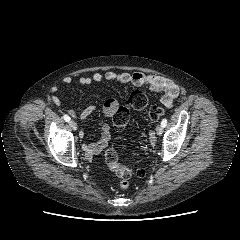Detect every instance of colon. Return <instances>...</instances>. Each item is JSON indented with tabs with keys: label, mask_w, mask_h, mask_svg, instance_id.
Wrapping results in <instances>:
<instances>
[{
	"label": "colon",
	"mask_w": 240,
	"mask_h": 240,
	"mask_svg": "<svg viewBox=\"0 0 240 240\" xmlns=\"http://www.w3.org/2000/svg\"><path fill=\"white\" fill-rule=\"evenodd\" d=\"M148 105L147 96L141 91H133L127 100L126 105L119 106L116 113L113 116V124L117 130H122L127 125L130 117V109L142 110ZM165 114V110L160 106H152L148 111V117L156 121ZM105 162L110 170H112L120 179L118 187L121 190L129 188V180L132 176L143 177L145 171L141 168L133 169L128 166H123L119 162L117 152L109 148L104 154Z\"/></svg>",
	"instance_id": "obj_1"
}]
</instances>
